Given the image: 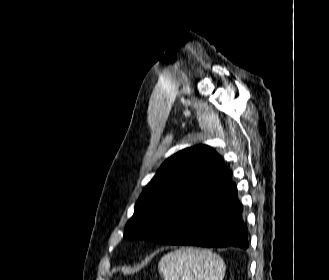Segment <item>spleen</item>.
<instances>
[{
	"label": "spleen",
	"instance_id": "3e777b00",
	"mask_svg": "<svg viewBox=\"0 0 329 280\" xmlns=\"http://www.w3.org/2000/svg\"><path fill=\"white\" fill-rule=\"evenodd\" d=\"M164 280H223L225 263L208 249L183 247L166 254L158 263Z\"/></svg>",
	"mask_w": 329,
	"mask_h": 280
}]
</instances>
